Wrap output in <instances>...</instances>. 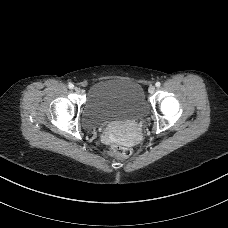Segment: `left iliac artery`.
<instances>
[{
	"mask_svg": "<svg viewBox=\"0 0 228 228\" xmlns=\"http://www.w3.org/2000/svg\"><path fill=\"white\" fill-rule=\"evenodd\" d=\"M156 87H160L161 83L160 82H156Z\"/></svg>",
	"mask_w": 228,
	"mask_h": 228,
	"instance_id": "obj_1",
	"label": "left iliac artery"
}]
</instances>
